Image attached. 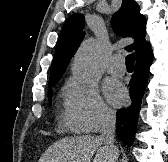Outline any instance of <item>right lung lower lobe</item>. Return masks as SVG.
Instances as JSON below:
<instances>
[{"mask_svg": "<svg viewBox=\"0 0 168 162\" xmlns=\"http://www.w3.org/2000/svg\"><path fill=\"white\" fill-rule=\"evenodd\" d=\"M152 59V51L136 59L135 71L129 83L132 103L129 107L120 109L116 117L117 136L129 146L134 141L139 110L146 89Z\"/></svg>", "mask_w": 168, "mask_h": 162, "instance_id": "98d812e1", "label": "right lung lower lobe"}]
</instances>
